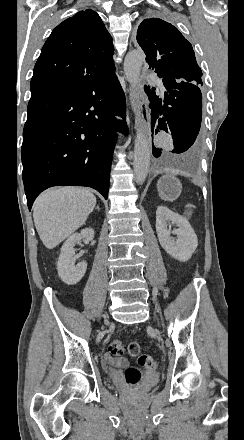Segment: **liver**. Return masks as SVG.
<instances>
[{"instance_id": "liver-1", "label": "liver", "mask_w": 244, "mask_h": 440, "mask_svg": "<svg viewBox=\"0 0 244 440\" xmlns=\"http://www.w3.org/2000/svg\"><path fill=\"white\" fill-rule=\"evenodd\" d=\"M96 198L85 188H51L38 196L33 220L41 242L48 250L85 224Z\"/></svg>"}]
</instances>
